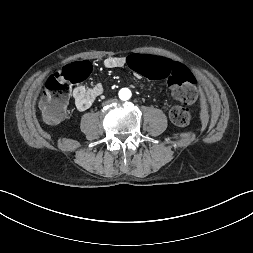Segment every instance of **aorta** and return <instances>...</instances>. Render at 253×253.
Listing matches in <instances>:
<instances>
[{
  "instance_id": "1",
  "label": "aorta",
  "mask_w": 253,
  "mask_h": 253,
  "mask_svg": "<svg viewBox=\"0 0 253 253\" xmlns=\"http://www.w3.org/2000/svg\"><path fill=\"white\" fill-rule=\"evenodd\" d=\"M130 96H131V93L128 89H122L119 93V97L122 100H127L130 98Z\"/></svg>"
}]
</instances>
